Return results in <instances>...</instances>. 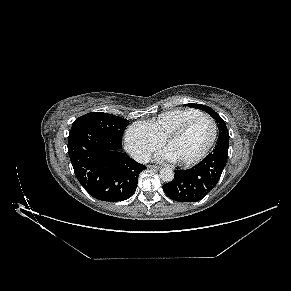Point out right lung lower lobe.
<instances>
[{
  "mask_svg": "<svg viewBox=\"0 0 291 291\" xmlns=\"http://www.w3.org/2000/svg\"><path fill=\"white\" fill-rule=\"evenodd\" d=\"M122 144L94 128L70 131L68 153L81 185L94 198L117 202L131 197L146 166L120 150Z\"/></svg>",
  "mask_w": 291,
  "mask_h": 291,
  "instance_id": "obj_1",
  "label": "right lung lower lobe"
}]
</instances>
